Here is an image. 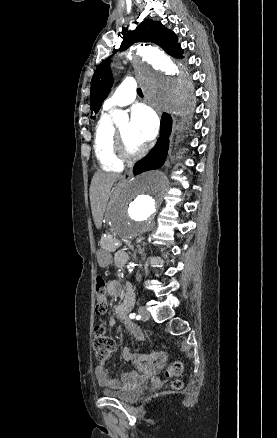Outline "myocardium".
Returning a JSON list of instances; mask_svg holds the SVG:
<instances>
[{
    "mask_svg": "<svg viewBox=\"0 0 277 438\" xmlns=\"http://www.w3.org/2000/svg\"><path fill=\"white\" fill-rule=\"evenodd\" d=\"M112 147L117 155L118 159L122 162H132L136 160L142 152H139L137 154H131L127 150L125 140L123 136L120 134L118 128H114L112 132Z\"/></svg>",
    "mask_w": 277,
    "mask_h": 438,
    "instance_id": "1",
    "label": "myocardium"
}]
</instances>
